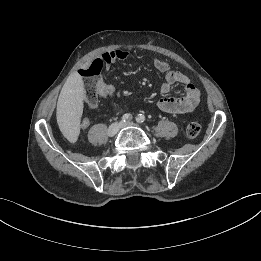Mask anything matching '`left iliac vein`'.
Masks as SVG:
<instances>
[{
	"mask_svg": "<svg viewBox=\"0 0 261 261\" xmlns=\"http://www.w3.org/2000/svg\"><path fill=\"white\" fill-rule=\"evenodd\" d=\"M135 126H138V125L134 124L132 122H126V123H122L120 128L135 127Z\"/></svg>",
	"mask_w": 261,
	"mask_h": 261,
	"instance_id": "obj_1",
	"label": "left iliac vein"
}]
</instances>
